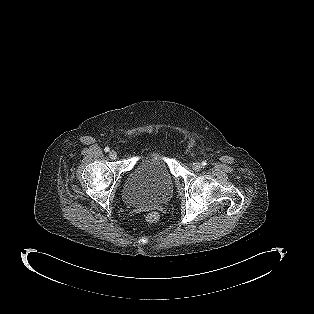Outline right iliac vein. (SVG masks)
I'll return each mask as SVG.
<instances>
[{"mask_svg":"<svg viewBox=\"0 0 314 314\" xmlns=\"http://www.w3.org/2000/svg\"><path fill=\"white\" fill-rule=\"evenodd\" d=\"M117 156H118V154H117L116 151L112 150V151L109 152V157H110L111 159H116Z\"/></svg>","mask_w":314,"mask_h":314,"instance_id":"obj_1","label":"right iliac vein"}]
</instances>
